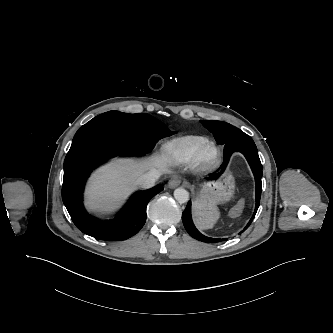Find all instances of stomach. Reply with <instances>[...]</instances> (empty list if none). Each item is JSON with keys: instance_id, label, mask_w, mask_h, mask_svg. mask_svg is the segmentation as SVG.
Wrapping results in <instances>:
<instances>
[{"instance_id": "1", "label": "stomach", "mask_w": 333, "mask_h": 333, "mask_svg": "<svg viewBox=\"0 0 333 333\" xmlns=\"http://www.w3.org/2000/svg\"><path fill=\"white\" fill-rule=\"evenodd\" d=\"M235 181L230 170H226L217 179L200 185L193 202V215L196 225L209 229L219 219L218 205L230 201L234 195Z\"/></svg>"}]
</instances>
